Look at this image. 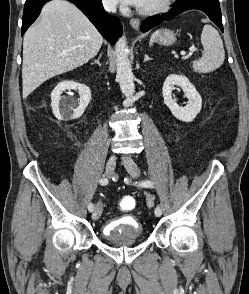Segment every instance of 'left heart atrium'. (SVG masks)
Segmentation results:
<instances>
[{
	"label": "left heart atrium",
	"mask_w": 249,
	"mask_h": 294,
	"mask_svg": "<svg viewBox=\"0 0 249 294\" xmlns=\"http://www.w3.org/2000/svg\"><path fill=\"white\" fill-rule=\"evenodd\" d=\"M121 2L129 5H134L140 7L144 0H120Z\"/></svg>",
	"instance_id": "1"
}]
</instances>
